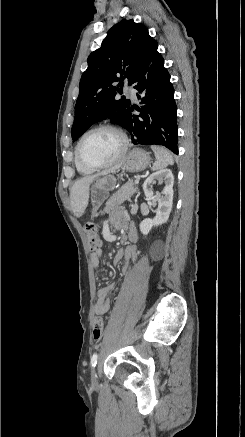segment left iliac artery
Listing matches in <instances>:
<instances>
[{
    "label": "left iliac artery",
    "instance_id": "left-iliac-artery-1",
    "mask_svg": "<svg viewBox=\"0 0 245 437\" xmlns=\"http://www.w3.org/2000/svg\"><path fill=\"white\" fill-rule=\"evenodd\" d=\"M97 360H98V354L95 353V354H93V356L91 357V366H92V367H95V366H96V364H97Z\"/></svg>",
    "mask_w": 245,
    "mask_h": 437
}]
</instances>
